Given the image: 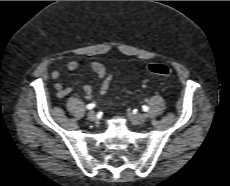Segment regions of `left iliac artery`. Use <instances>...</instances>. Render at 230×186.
Listing matches in <instances>:
<instances>
[{"mask_svg": "<svg viewBox=\"0 0 230 186\" xmlns=\"http://www.w3.org/2000/svg\"><path fill=\"white\" fill-rule=\"evenodd\" d=\"M149 110V107L147 105L143 106V111L147 112Z\"/></svg>", "mask_w": 230, "mask_h": 186, "instance_id": "obj_1", "label": "left iliac artery"}]
</instances>
